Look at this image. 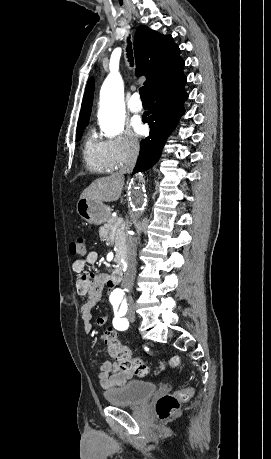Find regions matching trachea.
<instances>
[{"label":"trachea","mask_w":271,"mask_h":459,"mask_svg":"<svg viewBox=\"0 0 271 459\" xmlns=\"http://www.w3.org/2000/svg\"><path fill=\"white\" fill-rule=\"evenodd\" d=\"M126 50H127L128 61L130 62V65L133 66V56H132L133 52H132L131 42H130L129 38H128V45H127V49ZM139 94H140L142 102H148L149 101L147 90H146L145 87H141L139 89Z\"/></svg>","instance_id":"obj_1"}]
</instances>
